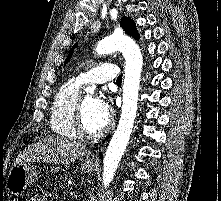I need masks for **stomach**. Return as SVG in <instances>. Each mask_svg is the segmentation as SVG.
Here are the masks:
<instances>
[{
	"instance_id": "obj_1",
	"label": "stomach",
	"mask_w": 221,
	"mask_h": 201,
	"mask_svg": "<svg viewBox=\"0 0 221 201\" xmlns=\"http://www.w3.org/2000/svg\"><path fill=\"white\" fill-rule=\"evenodd\" d=\"M81 168L83 172L91 173L95 164L84 161ZM37 175V171L30 164L17 162L9 171L6 187L10 193L19 194L35 181Z\"/></svg>"
}]
</instances>
